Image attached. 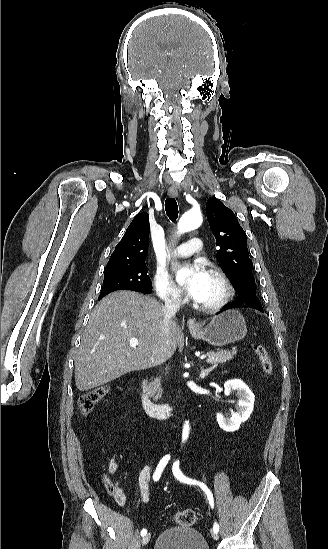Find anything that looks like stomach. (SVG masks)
<instances>
[{
    "label": "stomach",
    "instance_id": "1",
    "mask_svg": "<svg viewBox=\"0 0 328 549\" xmlns=\"http://www.w3.org/2000/svg\"><path fill=\"white\" fill-rule=\"evenodd\" d=\"M192 335L197 339H203L214 347H224L229 343L241 341L247 335L245 319L237 309H229L220 315L212 317L210 323L204 329H196L189 325Z\"/></svg>",
    "mask_w": 328,
    "mask_h": 549
}]
</instances>
